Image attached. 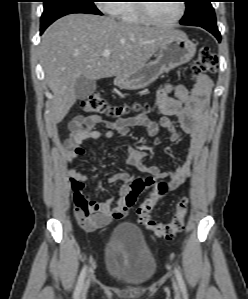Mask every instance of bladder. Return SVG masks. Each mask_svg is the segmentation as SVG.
<instances>
[{
    "instance_id": "1",
    "label": "bladder",
    "mask_w": 248,
    "mask_h": 299,
    "mask_svg": "<svg viewBox=\"0 0 248 299\" xmlns=\"http://www.w3.org/2000/svg\"><path fill=\"white\" fill-rule=\"evenodd\" d=\"M105 253L108 276L123 288H140L156 272L152 247L134 223L124 222L112 230Z\"/></svg>"
}]
</instances>
